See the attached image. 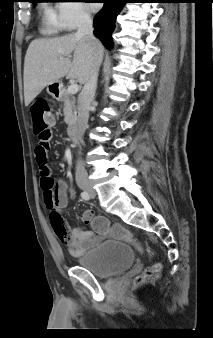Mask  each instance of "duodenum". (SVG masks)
<instances>
[{
  "instance_id": "obj_1",
  "label": "duodenum",
  "mask_w": 213,
  "mask_h": 338,
  "mask_svg": "<svg viewBox=\"0 0 213 338\" xmlns=\"http://www.w3.org/2000/svg\"><path fill=\"white\" fill-rule=\"evenodd\" d=\"M58 88L55 89V94L58 95ZM70 133L73 136V138H76V133H77V123L74 121L70 125Z\"/></svg>"
}]
</instances>
